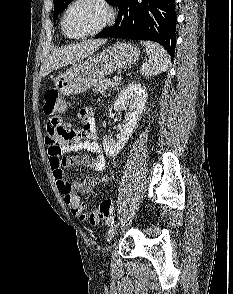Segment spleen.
Masks as SVG:
<instances>
[{
    "instance_id": "1",
    "label": "spleen",
    "mask_w": 233,
    "mask_h": 294,
    "mask_svg": "<svg viewBox=\"0 0 233 294\" xmlns=\"http://www.w3.org/2000/svg\"><path fill=\"white\" fill-rule=\"evenodd\" d=\"M141 45L146 48L149 60L141 66L140 73L149 77L167 71L169 59L164 48L151 41H142Z\"/></svg>"
}]
</instances>
